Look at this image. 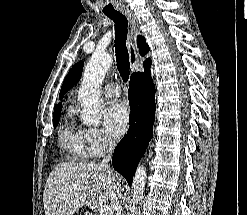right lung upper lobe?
I'll list each match as a JSON object with an SVG mask.
<instances>
[{
    "mask_svg": "<svg viewBox=\"0 0 247 215\" xmlns=\"http://www.w3.org/2000/svg\"><path fill=\"white\" fill-rule=\"evenodd\" d=\"M137 45L139 47V52L142 56H144L148 51H149V46L147 45L144 37L142 36H138V39H137ZM151 62V59L148 58L146 59L144 62H143V66L147 63ZM62 109V103H59L57 104L55 107H54V113L53 114H57V113H60Z\"/></svg>",
    "mask_w": 247,
    "mask_h": 215,
    "instance_id": "obj_1",
    "label": "right lung upper lobe"
}]
</instances>
